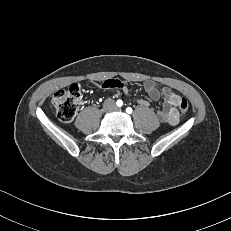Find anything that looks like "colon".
Masks as SVG:
<instances>
[{"instance_id":"obj_1","label":"colon","mask_w":231,"mask_h":231,"mask_svg":"<svg viewBox=\"0 0 231 231\" xmlns=\"http://www.w3.org/2000/svg\"><path fill=\"white\" fill-rule=\"evenodd\" d=\"M52 104L56 110L57 117L62 122H70L74 119L78 109L83 104V88L80 84H72L67 89L54 93ZM179 109L185 113L189 109L187 99L181 98Z\"/></svg>"}]
</instances>
